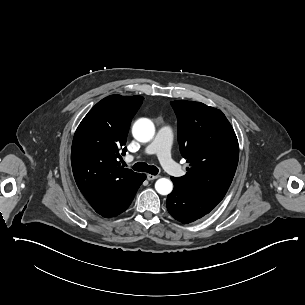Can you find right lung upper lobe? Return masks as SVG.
I'll return each mask as SVG.
<instances>
[{
	"mask_svg": "<svg viewBox=\"0 0 305 305\" xmlns=\"http://www.w3.org/2000/svg\"><path fill=\"white\" fill-rule=\"evenodd\" d=\"M142 96L111 95L98 102L78 126L71 163L78 188L97 209L139 182L141 174L123 168L118 158L126 152V138Z\"/></svg>",
	"mask_w": 305,
	"mask_h": 305,
	"instance_id": "obj_1",
	"label": "right lung upper lobe"
}]
</instances>
